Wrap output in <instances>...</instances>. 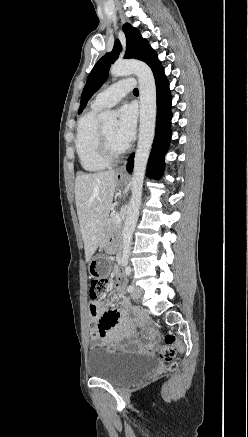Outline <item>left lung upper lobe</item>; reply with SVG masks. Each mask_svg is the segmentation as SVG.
<instances>
[{
  "label": "left lung upper lobe",
  "mask_w": 248,
  "mask_h": 437,
  "mask_svg": "<svg viewBox=\"0 0 248 437\" xmlns=\"http://www.w3.org/2000/svg\"><path fill=\"white\" fill-rule=\"evenodd\" d=\"M123 31L126 36L125 58H135L144 61L151 67L153 73L162 68L155 51L149 46L148 41L142 38L136 28L126 23L123 25ZM121 50V43L119 40H116L112 52L103 56L93 67L81 95L79 114L85 108L87 101L107 79L110 65L115 62Z\"/></svg>",
  "instance_id": "5c2ea615"
}]
</instances>
